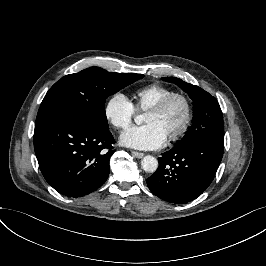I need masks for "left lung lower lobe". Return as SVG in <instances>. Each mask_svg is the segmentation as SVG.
Segmentation results:
<instances>
[{
    "label": "left lung lower lobe",
    "instance_id": "obj_1",
    "mask_svg": "<svg viewBox=\"0 0 266 266\" xmlns=\"http://www.w3.org/2000/svg\"><path fill=\"white\" fill-rule=\"evenodd\" d=\"M223 150L224 141L212 138L174 147L158 158L159 167L147 185L154 195L170 203L190 202L213 181Z\"/></svg>",
    "mask_w": 266,
    "mask_h": 266
}]
</instances>
